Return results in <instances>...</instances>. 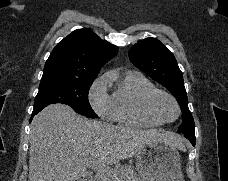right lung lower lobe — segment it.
Segmentation results:
<instances>
[{"instance_id": "1", "label": "right lung lower lobe", "mask_w": 228, "mask_h": 181, "mask_svg": "<svg viewBox=\"0 0 228 181\" xmlns=\"http://www.w3.org/2000/svg\"><path fill=\"white\" fill-rule=\"evenodd\" d=\"M37 113H38V111H33L30 121L32 120L33 116H35Z\"/></svg>"}]
</instances>
